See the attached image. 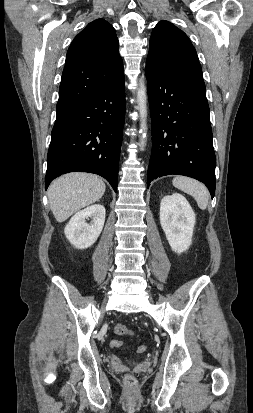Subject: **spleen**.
Listing matches in <instances>:
<instances>
[{"mask_svg":"<svg viewBox=\"0 0 253 413\" xmlns=\"http://www.w3.org/2000/svg\"><path fill=\"white\" fill-rule=\"evenodd\" d=\"M172 183L179 190L191 195L200 209L205 210L207 208L209 191L203 183L185 176L174 177Z\"/></svg>","mask_w":253,"mask_h":413,"instance_id":"3e777b00","label":"spleen"}]
</instances>
